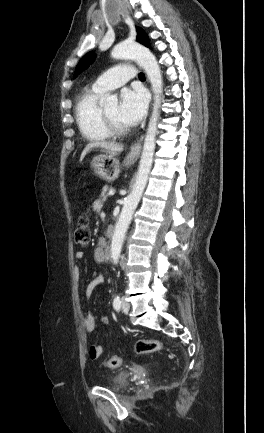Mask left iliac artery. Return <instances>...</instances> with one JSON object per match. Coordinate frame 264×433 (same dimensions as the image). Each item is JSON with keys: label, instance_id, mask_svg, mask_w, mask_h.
I'll use <instances>...</instances> for the list:
<instances>
[{"label": "left iliac artery", "instance_id": "1", "mask_svg": "<svg viewBox=\"0 0 264 433\" xmlns=\"http://www.w3.org/2000/svg\"><path fill=\"white\" fill-rule=\"evenodd\" d=\"M113 306H114L115 310H117V311L120 310L121 301H120V297L119 296H116L114 298V300H113Z\"/></svg>", "mask_w": 264, "mask_h": 433}]
</instances>
